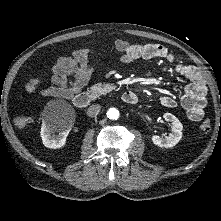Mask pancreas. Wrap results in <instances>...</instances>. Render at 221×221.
I'll return each instance as SVG.
<instances>
[{
  "label": "pancreas",
  "instance_id": "pancreas-1",
  "mask_svg": "<svg viewBox=\"0 0 221 221\" xmlns=\"http://www.w3.org/2000/svg\"><path fill=\"white\" fill-rule=\"evenodd\" d=\"M110 85L105 83L94 84L90 87V90L87 93L90 95L92 99L98 98L102 94H106L110 91Z\"/></svg>",
  "mask_w": 221,
  "mask_h": 221
}]
</instances>
